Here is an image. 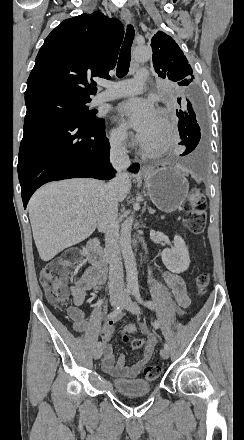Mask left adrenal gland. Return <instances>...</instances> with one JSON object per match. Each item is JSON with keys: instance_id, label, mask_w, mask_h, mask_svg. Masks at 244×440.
Instances as JSON below:
<instances>
[{"instance_id": "a2214340", "label": "left adrenal gland", "mask_w": 244, "mask_h": 440, "mask_svg": "<svg viewBox=\"0 0 244 440\" xmlns=\"http://www.w3.org/2000/svg\"><path fill=\"white\" fill-rule=\"evenodd\" d=\"M149 214H152V210H151V208H149Z\"/></svg>"}]
</instances>
